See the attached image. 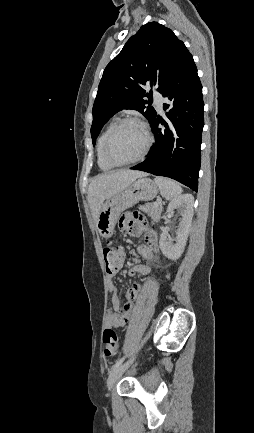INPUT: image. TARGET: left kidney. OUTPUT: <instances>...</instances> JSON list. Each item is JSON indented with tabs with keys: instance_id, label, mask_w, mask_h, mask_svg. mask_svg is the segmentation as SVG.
<instances>
[{
	"instance_id": "1",
	"label": "left kidney",
	"mask_w": 254,
	"mask_h": 433,
	"mask_svg": "<svg viewBox=\"0 0 254 433\" xmlns=\"http://www.w3.org/2000/svg\"><path fill=\"white\" fill-rule=\"evenodd\" d=\"M194 197L191 194H183L173 199L167 208L168 213H173L175 209L181 212V222L179 223L175 244L168 239V233L160 235L159 245L162 253L171 260H177L183 253L188 238L189 228L193 217Z\"/></svg>"
}]
</instances>
